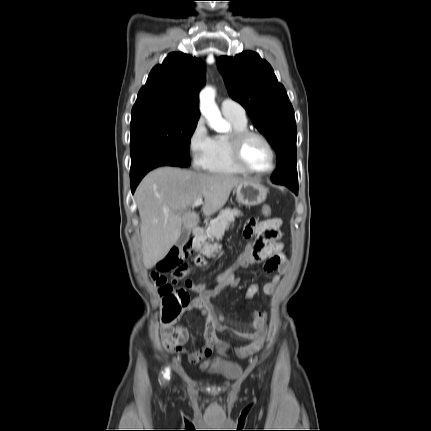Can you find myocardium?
<instances>
[{
    "instance_id": "obj_1",
    "label": "myocardium",
    "mask_w": 431,
    "mask_h": 431,
    "mask_svg": "<svg viewBox=\"0 0 431 431\" xmlns=\"http://www.w3.org/2000/svg\"><path fill=\"white\" fill-rule=\"evenodd\" d=\"M252 137H256L262 140L271 153L272 163L270 168L267 170H262V171L255 170L249 167L244 161L243 147H244V144L247 142V140ZM229 145H230V154H231L232 161L243 172L249 173V174H256V175H266L275 170L276 164H277L276 151L273 145L271 144V142L269 141V139L262 133L253 131V130H248V129L234 132L229 137Z\"/></svg>"
}]
</instances>
